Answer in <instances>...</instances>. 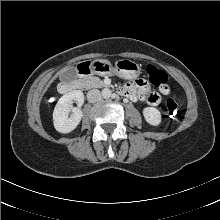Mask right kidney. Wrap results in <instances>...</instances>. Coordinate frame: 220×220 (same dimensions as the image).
I'll return each mask as SVG.
<instances>
[{"instance_id": "obj_1", "label": "right kidney", "mask_w": 220, "mask_h": 220, "mask_svg": "<svg viewBox=\"0 0 220 220\" xmlns=\"http://www.w3.org/2000/svg\"><path fill=\"white\" fill-rule=\"evenodd\" d=\"M77 101L78 107H73V101ZM84 103V94L80 90L71 91L63 95L57 102L53 112L55 129L60 133H70L80 123L83 112L80 107ZM73 112L69 117V113Z\"/></svg>"}]
</instances>
